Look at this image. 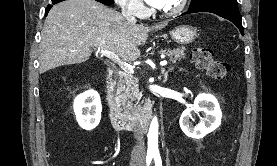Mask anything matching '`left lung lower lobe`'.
Listing matches in <instances>:
<instances>
[{"label": "left lung lower lobe", "instance_id": "0a47b994", "mask_svg": "<svg viewBox=\"0 0 277 166\" xmlns=\"http://www.w3.org/2000/svg\"><path fill=\"white\" fill-rule=\"evenodd\" d=\"M197 12H210L220 17H223L231 21L232 23H234L239 28L241 34L244 35L241 16L237 5H228V4H221V3L210 4V5H205V6L196 8L194 10H188V12L183 13L182 15L197 13Z\"/></svg>", "mask_w": 277, "mask_h": 166}]
</instances>
